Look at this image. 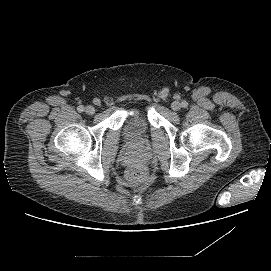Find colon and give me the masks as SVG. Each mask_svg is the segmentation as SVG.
Instances as JSON below:
<instances>
[{"mask_svg":"<svg viewBox=\"0 0 271 271\" xmlns=\"http://www.w3.org/2000/svg\"><path fill=\"white\" fill-rule=\"evenodd\" d=\"M146 171L141 165H132L127 170V180L131 184H140L145 180Z\"/></svg>","mask_w":271,"mask_h":271,"instance_id":"colon-1","label":"colon"}]
</instances>
